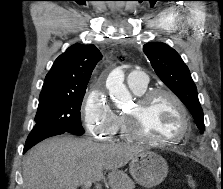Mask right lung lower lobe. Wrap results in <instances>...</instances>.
Listing matches in <instances>:
<instances>
[{"mask_svg":"<svg viewBox=\"0 0 223 189\" xmlns=\"http://www.w3.org/2000/svg\"><path fill=\"white\" fill-rule=\"evenodd\" d=\"M66 131L64 130H59V129H45V130H32L31 133L29 134L26 144L23 150V153H25L28 149L39 143L40 141L51 137L55 135H60L65 133Z\"/></svg>","mask_w":223,"mask_h":189,"instance_id":"obj_1","label":"right lung lower lobe"}]
</instances>
